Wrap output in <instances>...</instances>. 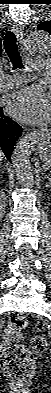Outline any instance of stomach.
<instances>
[{"label":"stomach","mask_w":51,"mask_h":393,"mask_svg":"<svg viewBox=\"0 0 51 393\" xmlns=\"http://www.w3.org/2000/svg\"><path fill=\"white\" fill-rule=\"evenodd\" d=\"M41 157L47 161V162H51V152L50 150H43L41 153Z\"/></svg>","instance_id":"obj_1"}]
</instances>
